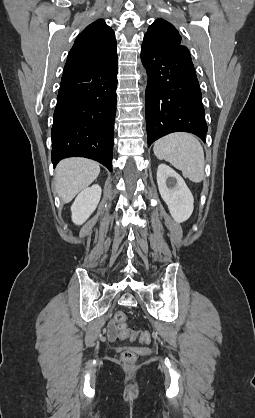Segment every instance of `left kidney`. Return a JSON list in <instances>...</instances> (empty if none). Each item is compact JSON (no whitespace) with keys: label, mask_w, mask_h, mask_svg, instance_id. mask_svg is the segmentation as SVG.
<instances>
[{"label":"left kidney","mask_w":255,"mask_h":418,"mask_svg":"<svg viewBox=\"0 0 255 418\" xmlns=\"http://www.w3.org/2000/svg\"><path fill=\"white\" fill-rule=\"evenodd\" d=\"M157 184L173 219L178 223L188 220L194 209V198L183 178L168 165L160 164Z\"/></svg>","instance_id":"obj_1"}]
</instances>
